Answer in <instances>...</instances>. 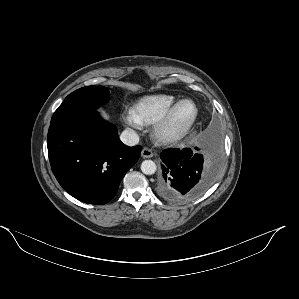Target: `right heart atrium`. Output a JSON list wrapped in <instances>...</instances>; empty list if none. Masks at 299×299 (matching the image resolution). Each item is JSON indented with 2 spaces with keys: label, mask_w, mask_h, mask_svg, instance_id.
I'll list each match as a JSON object with an SVG mask.
<instances>
[{
  "label": "right heart atrium",
  "mask_w": 299,
  "mask_h": 299,
  "mask_svg": "<svg viewBox=\"0 0 299 299\" xmlns=\"http://www.w3.org/2000/svg\"><path fill=\"white\" fill-rule=\"evenodd\" d=\"M122 120L127 126L134 128V129H140L143 125L139 121V119L135 116L132 109L126 110L123 112Z\"/></svg>",
  "instance_id": "right-heart-atrium-1"
}]
</instances>
